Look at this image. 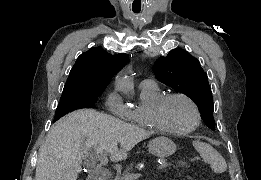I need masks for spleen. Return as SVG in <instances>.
<instances>
[{
	"label": "spleen",
	"instance_id": "obj_1",
	"mask_svg": "<svg viewBox=\"0 0 261 180\" xmlns=\"http://www.w3.org/2000/svg\"><path fill=\"white\" fill-rule=\"evenodd\" d=\"M193 146L196 152H199L204 162L210 164L215 174H223V172H226L227 164L223 156L218 154L217 150H214L210 144H204V142H193Z\"/></svg>",
	"mask_w": 261,
	"mask_h": 180
}]
</instances>
